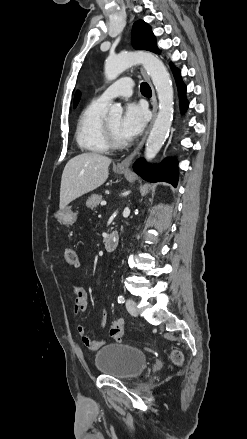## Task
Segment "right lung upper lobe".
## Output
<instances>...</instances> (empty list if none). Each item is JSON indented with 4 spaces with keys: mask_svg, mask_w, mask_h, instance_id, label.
<instances>
[{
    "mask_svg": "<svg viewBox=\"0 0 247 439\" xmlns=\"http://www.w3.org/2000/svg\"><path fill=\"white\" fill-rule=\"evenodd\" d=\"M79 98H80V94H79V92H77L75 94V98H74V107H76V105H77V103L79 101Z\"/></svg>",
    "mask_w": 247,
    "mask_h": 439,
    "instance_id": "cb5924a9",
    "label": "right lung upper lobe"
}]
</instances>
